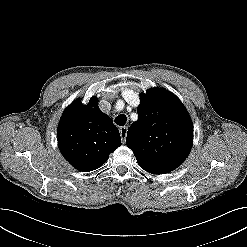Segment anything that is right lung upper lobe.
<instances>
[{"label":"right lung upper lobe","mask_w":247,"mask_h":247,"mask_svg":"<svg viewBox=\"0 0 247 247\" xmlns=\"http://www.w3.org/2000/svg\"><path fill=\"white\" fill-rule=\"evenodd\" d=\"M58 145L65 159L76 169L89 172L101 167L121 145L119 130L101 112L97 99L87 105L79 99L63 112L58 129Z\"/></svg>","instance_id":"1"}]
</instances>
